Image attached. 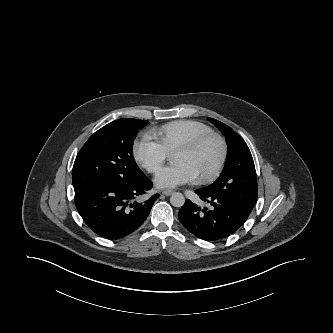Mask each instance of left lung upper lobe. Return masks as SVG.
I'll use <instances>...</instances> for the list:
<instances>
[{
    "instance_id": "1",
    "label": "left lung upper lobe",
    "mask_w": 333,
    "mask_h": 333,
    "mask_svg": "<svg viewBox=\"0 0 333 333\" xmlns=\"http://www.w3.org/2000/svg\"><path fill=\"white\" fill-rule=\"evenodd\" d=\"M209 121L226 137L228 155L220 177L202 189L222 193L252 211L257 201V179L250 150L232 128L213 118Z\"/></svg>"
}]
</instances>
